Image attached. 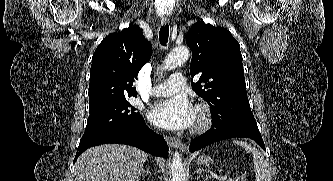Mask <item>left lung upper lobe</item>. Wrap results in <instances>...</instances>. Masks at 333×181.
Returning a JSON list of instances; mask_svg holds the SVG:
<instances>
[{
  "instance_id": "obj_1",
  "label": "left lung upper lobe",
  "mask_w": 333,
  "mask_h": 181,
  "mask_svg": "<svg viewBox=\"0 0 333 181\" xmlns=\"http://www.w3.org/2000/svg\"><path fill=\"white\" fill-rule=\"evenodd\" d=\"M186 43L192 50L191 76H200L192 88L211 106L212 115H227L238 127L259 133L247 98L240 45L232 34L202 21L191 27Z\"/></svg>"
}]
</instances>
